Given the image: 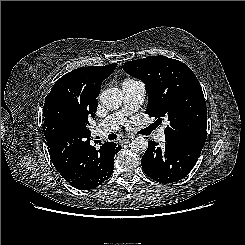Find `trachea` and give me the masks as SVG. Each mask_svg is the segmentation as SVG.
<instances>
[{
	"instance_id": "3493384b",
	"label": "trachea",
	"mask_w": 245,
	"mask_h": 245,
	"mask_svg": "<svg viewBox=\"0 0 245 245\" xmlns=\"http://www.w3.org/2000/svg\"><path fill=\"white\" fill-rule=\"evenodd\" d=\"M116 135L115 134H110V135H108V139L109 140H114V139H116Z\"/></svg>"
}]
</instances>
